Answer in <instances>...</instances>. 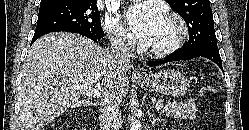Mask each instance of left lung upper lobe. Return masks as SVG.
<instances>
[{
    "label": "left lung upper lobe",
    "mask_w": 249,
    "mask_h": 130,
    "mask_svg": "<svg viewBox=\"0 0 249 130\" xmlns=\"http://www.w3.org/2000/svg\"><path fill=\"white\" fill-rule=\"evenodd\" d=\"M186 22L189 41L183 47L218 49L209 0H166Z\"/></svg>",
    "instance_id": "obj_1"
}]
</instances>
